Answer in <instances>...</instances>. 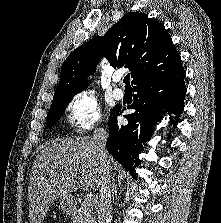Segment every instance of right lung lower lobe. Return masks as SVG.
Segmentation results:
<instances>
[{
    "mask_svg": "<svg viewBox=\"0 0 221 223\" xmlns=\"http://www.w3.org/2000/svg\"><path fill=\"white\" fill-rule=\"evenodd\" d=\"M184 78L185 70L180 66L161 78L136 83L133 91L137 95L133 104L128 106L135 112L124 115L128 124L123 126L117 123L116 116L120 113H115L120 112L121 108H116L113 117H110L106 148L133 177H136V166L141 163L138 155L151 137L154 124L167 113L171 115L170 124L175 126L179 121L187 90Z\"/></svg>",
    "mask_w": 221,
    "mask_h": 223,
    "instance_id": "98d812e1",
    "label": "right lung lower lobe"
}]
</instances>
